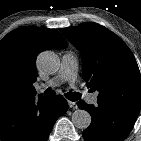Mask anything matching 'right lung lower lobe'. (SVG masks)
<instances>
[{
    "label": "right lung lower lobe",
    "mask_w": 141,
    "mask_h": 141,
    "mask_svg": "<svg viewBox=\"0 0 141 141\" xmlns=\"http://www.w3.org/2000/svg\"><path fill=\"white\" fill-rule=\"evenodd\" d=\"M68 109L62 96L39 97L0 110L1 141H47L55 121Z\"/></svg>",
    "instance_id": "1"
}]
</instances>
